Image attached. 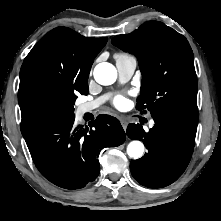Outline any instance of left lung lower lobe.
Listing matches in <instances>:
<instances>
[{"label":"left lung lower lobe","mask_w":221,"mask_h":221,"mask_svg":"<svg viewBox=\"0 0 221 221\" xmlns=\"http://www.w3.org/2000/svg\"><path fill=\"white\" fill-rule=\"evenodd\" d=\"M155 125L145 132L140 124H129L130 139L143 141L148 153L130 163L132 176L149 188L172 184L185 171L191 159L197 123L169 115L154 113Z\"/></svg>","instance_id":"1"}]
</instances>
